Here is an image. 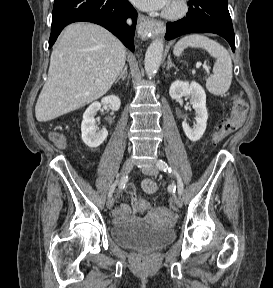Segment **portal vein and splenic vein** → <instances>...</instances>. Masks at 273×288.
Wrapping results in <instances>:
<instances>
[{"instance_id": "1", "label": "portal vein and splenic vein", "mask_w": 273, "mask_h": 288, "mask_svg": "<svg viewBox=\"0 0 273 288\" xmlns=\"http://www.w3.org/2000/svg\"><path fill=\"white\" fill-rule=\"evenodd\" d=\"M199 66H201V63H200V62L197 63V67H199ZM203 66H204V65H203Z\"/></svg>"}]
</instances>
